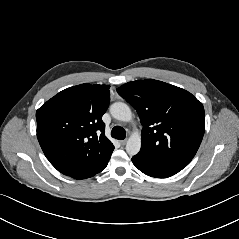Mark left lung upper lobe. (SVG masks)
Wrapping results in <instances>:
<instances>
[{"mask_svg": "<svg viewBox=\"0 0 239 239\" xmlns=\"http://www.w3.org/2000/svg\"><path fill=\"white\" fill-rule=\"evenodd\" d=\"M117 92L140 117L138 155L178 170L187 166L205 131L202 103L182 88L152 79L128 82Z\"/></svg>", "mask_w": 239, "mask_h": 239, "instance_id": "left-lung-upper-lobe-1", "label": "left lung upper lobe"}]
</instances>
